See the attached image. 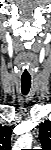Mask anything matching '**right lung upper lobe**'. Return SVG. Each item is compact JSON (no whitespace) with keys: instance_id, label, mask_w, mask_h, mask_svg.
Instances as JSON below:
<instances>
[{"instance_id":"obj_1","label":"right lung upper lobe","mask_w":51,"mask_h":150,"mask_svg":"<svg viewBox=\"0 0 51 150\" xmlns=\"http://www.w3.org/2000/svg\"><path fill=\"white\" fill-rule=\"evenodd\" d=\"M11 132L12 130L7 126L0 125V149L11 150Z\"/></svg>"}]
</instances>
